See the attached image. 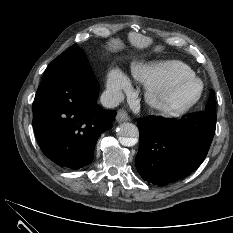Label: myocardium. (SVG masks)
<instances>
[{"label": "myocardium", "mask_w": 233, "mask_h": 233, "mask_svg": "<svg viewBox=\"0 0 233 233\" xmlns=\"http://www.w3.org/2000/svg\"><path fill=\"white\" fill-rule=\"evenodd\" d=\"M187 82H194L198 85V91L192 99L181 104H170L164 101L163 96L166 93L173 91L179 85ZM203 93V82L195 75H191L179 77L168 83L147 87L144 99L147 107L152 112L165 118H177L183 116L195 107L201 100Z\"/></svg>", "instance_id": "f54148a6"}]
</instances>
